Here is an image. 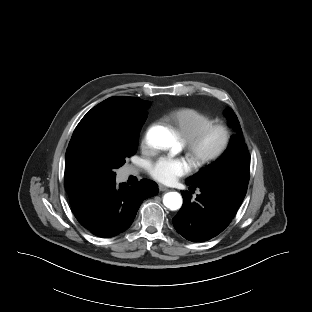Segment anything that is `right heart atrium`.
<instances>
[{"instance_id": "d8ad5b80", "label": "right heart atrium", "mask_w": 312, "mask_h": 312, "mask_svg": "<svg viewBox=\"0 0 312 312\" xmlns=\"http://www.w3.org/2000/svg\"><path fill=\"white\" fill-rule=\"evenodd\" d=\"M142 143H143V144H145V143H146V139H145V138L143 139Z\"/></svg>"}]
</instances>
